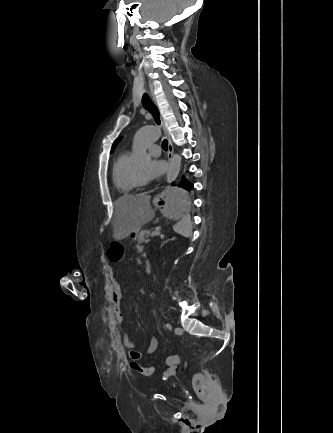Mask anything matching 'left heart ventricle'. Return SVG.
Masks as SVG:
<instances>
[{"label": "left heart ventricle", "mask_w": 333, "mask_h": 433, "mask_svg": "<svg viewBox=\"0 0 333 433\" xmlns=\"http://www.w3.org/2000/svg\"><path fill=\"white\" fill-rule=\"evenodd\" d=\"M146 160L140 163H136L133 165L137 178L140 181L145 182L144 171L147 167L149 161L154 157L149 151L145 154Z\"/></svg>", "instance_id": "left-heart-ventricle-1"}]
</instances>
